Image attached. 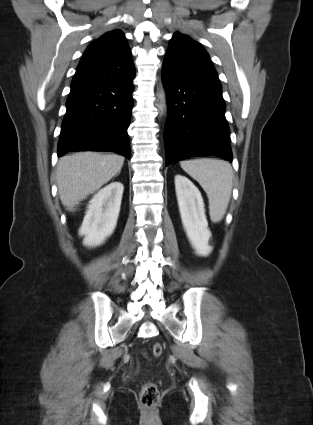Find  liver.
<instances>
[{
	"label": "liver",
	"instance_id": "6515ba94",
	"mask_svg": "<svg viewBox=\"0 0 313 425\" xmlns=\"http://www.w3.org/2000/svg\"><path fill=\"white\" fill-rule=\"evenodd\" d=\"M124 157L117 154L80 152L61 157L57 166L60 200L68 211L120 173Z\"/></svg>",
	"mask_w": 313,
	"mask_h": 425
}]
</instances>
